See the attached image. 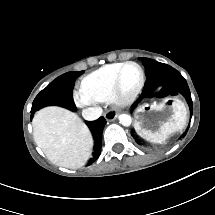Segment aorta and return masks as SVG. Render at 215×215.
<instances>
[{"instance_id": "1", "label": "aorta", "mask_w": 215, "mask_h": 215, "mask_svg": "<svg viewBox=\"0 0 215 215\" xmlns=\"http://www.w3.org/2000/svg\"><path fill=\"white\" fill-rule=\"evenodd\" d=\"M118 120L124 126H129L131 123V117L128 114H119Z\"/></svg>"}]
</instances>
